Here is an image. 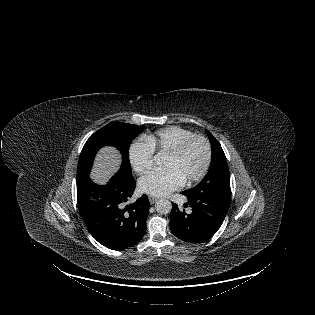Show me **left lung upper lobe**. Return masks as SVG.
I'll list each match as a JSON object with an SVG mask.
<instances>
[{
	"label": "left lung upper lobe",
	"mask_w": 315,
	"mask_h": 315,
	"mask_svg": "<svg viewBox=\"0 0 315 315\" xmlns=\"http://www.w3.org/2000/svg\"><path fill=\"white\" fill-rule=\"evenodd\" d=\"M206 132L212 147L210 168L204 179L196 187L187 191H208L230 198V173L226 156L216 138L208 130Z\"/></svg>",
	"instance_id": "obj_1"
}]
</instances>
